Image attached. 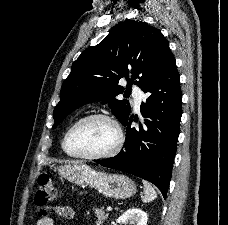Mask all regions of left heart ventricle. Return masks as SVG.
<instances>
[{
    "mask_svg": "<svg viewBox=\"0 0 228 225\" xmlns=\"http://www.w3.org/2000/svg\"><path fill=\"white\" fill-rule=\"evenodd\" d=\"M115 142V131L109 123L101 119H89L69 135L68 150L74 154H102L110 150Z\"/></svg>",
    "mask_w": 228,
    "mask_h": 225,
    "instance_id": "left-heart-ventricle-1",
    "label": "left heart ventricle"
}]
</instances>
